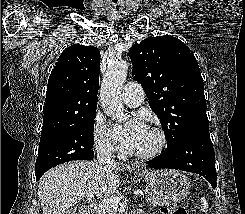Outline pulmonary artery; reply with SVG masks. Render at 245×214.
<instances>
[{
	"instance_id": "obj_1",
	"label": "pulmonary artery",
	"mask_w": 245,
	"mask_h": 214,
	"mask_svg": "<svg viewBox=\"0 0 245 214\" xmlns=\"http://www.w3.org/2000/svg\"><path fill=\"white\" fill-rule=\"evenodd\" d=\"M122 100L130 107L139 106L144 100L143 88L139 83L129 82L122 90Z\"/></svg>"
}]
</instances>
